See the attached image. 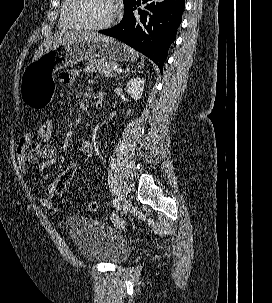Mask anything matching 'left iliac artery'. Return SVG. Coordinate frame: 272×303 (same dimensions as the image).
<instances>
[{"instance_id":"44dca946","label":"left iliac artery","mask_w":272,"mask_h":303,"mask_svg":"<svg viewBox=\"0 0 272 303\" xmlns=\"http://www.w3.org/2000/svg\"><path fill=\"white\" fill-rule=\"evenodd\" d=\"M113 203H114V206L116 207V209L119 210V209H120V203H119L118 199L115 198V199L113 200Z\"/></svg>"}]
</instances>
